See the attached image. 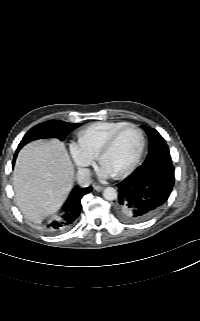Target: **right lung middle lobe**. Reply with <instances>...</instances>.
Masks as SVG:
<instances>
[{"label":"right lung middle lobe","instance_id":"obj_1","mask_svg":"<svg viewBox=\"0 0 200 321\" xmlns=\"http://www.w3.org/2000/svg\"><path fill=\"white\" fill-rule=\"evenodd\" d=\"M81 123H67L60 120H50L44 123L38 124L31 128L23 137L18 146V150L25 144L32 140L44 139V138H58L64 140L66 135L72 130L79 127Z\"/></svg>","mask_w":200,"mask_h":321}]
</instances>
